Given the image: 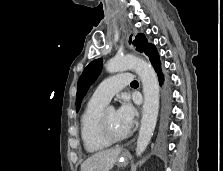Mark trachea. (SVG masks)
<instances>
[{"mask_svg":"<svg viewBox=\"0 0 223 171\" xmlns=\"http://www.w3.org/2000/svg\"><path fill=\"white\" fill-rule=\"evenodd\" d=\"M134 84H138V82H137V81H133V82L131 83V85H134Z\"/></svg>","mask_w":223,"mask_h":171,"instance_id":"obj_1","label":"trachea"}]
</instances>
